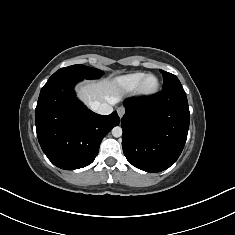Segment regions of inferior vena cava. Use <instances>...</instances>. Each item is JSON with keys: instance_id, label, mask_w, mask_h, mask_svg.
<instances>
[{"instance_id": "602c4592", "label": "inferior vena cava", "mask_w": 235, "mask_h": 235, "mask_svg": "<svg viewBox=\"0 0 235 235\" xmlns=\"http://www.w3.org/2000/svg\"><path fill=\"white\" fill-rule=\"evenodd\" d=\"M90 107L93 111L101 115H108L113 112L112 106L108 103H99L95 101L90 105Z\"/></svg>"}]
</instances>
